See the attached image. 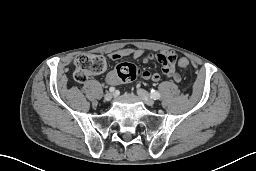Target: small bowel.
<instances>
[{"instance_id":"1","label":"small bowel","mask_w":256,"mask_h":171,"mask_svg":"<svg viewBox=\"0 0 256 171\" xmlns=\"http://www.w3.org/2000/svg\"><path fill=\"white\" fill-rule=\"evenodd\" d=\"M131 56L134 59H143L144 61H150L153 59H157L162 63V69L158 72H150L148 70H144L142 73V77L145 80H151L154 82L160 81L162 78H171L177 82L180 81V75L177 73L174 62L170 61V59L175 60L176 55L173 52L162 51L158 54H144V51L139 48L125 47L113 51L109 54V58L112 60H119L124 57ZM185 59V58H180ZM187 60V59H186ZM182 68V67H181ZM106 82L109 85H117L119 83V79L116 75V71H110L106 76Z\"/></svg>"}]
</instances>
